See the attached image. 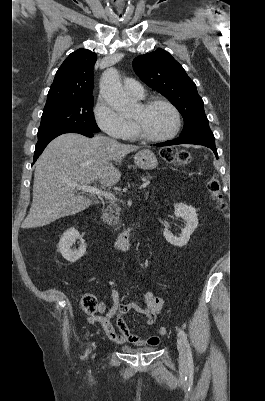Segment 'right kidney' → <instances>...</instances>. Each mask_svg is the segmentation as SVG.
<instances>
[{
    "label": "right kidney",
    "instance_id": "right-kidney-1",
    "mask_svg": "<svg viewBox=\"0 0 265 401\" xmlns=\"http://www.w3.org/2000/svg\"><path fill=\"white\" fill-rule=\"evenodd\" d=\"M76 239H80L81 245L79 249H75V251H73V249H70V247H72ZM86 247V243H84L78 231H76V229H73V227L72 229H68V231H65V233H63V237H61L59 241V251L61 255H63L64 259H66V261H69V263H75V261L81 259V257L85 255Z\"/></svg>",
    "mask_w": 265,
    "mask_h": 401
}]
</instances>
